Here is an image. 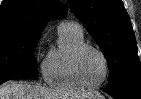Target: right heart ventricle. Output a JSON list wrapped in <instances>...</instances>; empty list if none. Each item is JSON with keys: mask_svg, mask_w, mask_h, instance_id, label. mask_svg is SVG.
I'll return each instance as SVG.
<instances>
[{"mask_svg": "<svg viewBox=\"0 0 141 99\" xmlns=\"http://www.w3.org/2000/svg\"><path fill=\"white\" fill-rule=\"evenodd\" d=\"M82 44L83 34L59 33L58 48L52 50L43 63V77L49 86L65 91L83 88L76 81L72 70L73 54Z\"/></svg>", "mask_w": 141, "mask_h": 99, "instance_id": "e07e8e85", "label": "right heart ventricle"}]
</instances>
